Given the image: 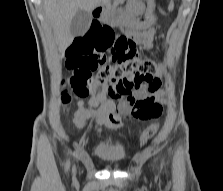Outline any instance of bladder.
Masks as SVG:
<instances>
[{
    "instance_id": "31cf9c89",
    "label": "bladder",
    "mask_w": 223,
    "mask_h": 191,
    "mask_svg": "<svg viewBox=\"0 0 223 191\" xmlns=\"http://www.w3.org/2000/svg\"><path fill=\"white\" fill-rule=\"evenodd\" d=\"M94 155L109 166L119 165L126 156L125 145L120 141H98L94 146Z\"/></svg>"
}]
</instances>
